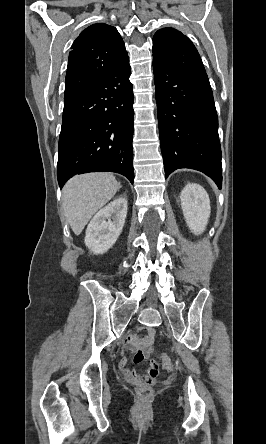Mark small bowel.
<instances>
[{"label":"small bowel","mask_w":266,"mask_h":444,"mask_svg":"<svg viewBox=\"0 0 266 444\" xmlns=\"http://www.w3.org/2000/svg\"><path fill=\"white\" fill-rule=\"evenodd\" d=\"M154 330L148 329V334L140 338L138 336H130L124 341V346L134 352L133 362L141 363L150 354V346L153 342ZM119 367L123 375L132 383H147L152 384L155 382L159 372V367L155 361H149V368L146 371L145 376L141 377L135 370L128 367V359L122 358L119 363Z\"/></svg>","instance_id":"obj_1"}]
</instances>
